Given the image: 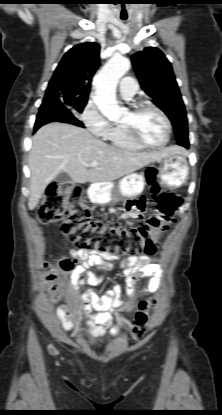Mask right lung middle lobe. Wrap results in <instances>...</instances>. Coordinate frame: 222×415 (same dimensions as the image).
<instances>
[{
	"label": "right lung middle lobe",
	"mask_w": 222,
	"mask_h": 415,
	"mask_svg": "<svg viewBox=\"0 0 222 415\" xmlns=\"http://www.w3.org/2000/svg\"><path fill=\"white\" fill-rule=\"evenodd\" d=\"M55 101H59L61 102L67 109L72 110V111H77V112H82L87 100L86 99H76V98H72V97H64V96H60L58 99H54V100H43L42 105L44 104H52ZM41 105V106H42Z\"/></svg>",
	"instance_id": "1"
}]
</instances>
